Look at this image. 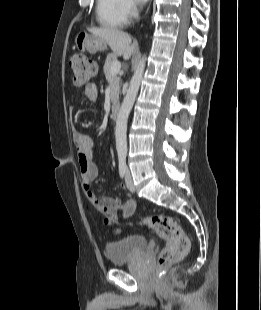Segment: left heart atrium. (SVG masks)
I'll return each instance as SVG.
<instances>
[{
  "label": "left heart atrium",
  "mask_w": 261,
  "mask_h": 310,
  "mask_svg": "<svg viewBox=\"0 0 261 310\" xmlns=\"http://www.w3.org/2000/svg\"><path fill=\"white\" fill-rule=\"evenodd\" d=\"M136 1L143 4V3L147 2L148 0H136Z\"/></svg>",
  "instance_id": "left-heart-atrium-1"
}]
</instances>
